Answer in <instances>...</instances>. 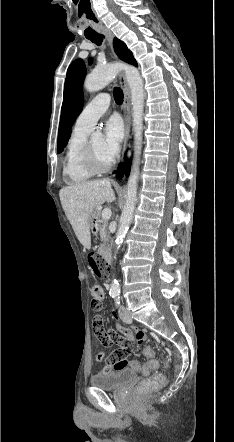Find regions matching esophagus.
Masks as SVG:
<instances>
[{
  "mask_svg": "<svg viewBox=\"0 0 234 442\" xmlns=\"http://www.w3.org/2000/svg\"><path fill=\"white\" fill-rule=\"evenodd\" d=\"M104 32L107 37L108 43L111 47L113 56L116 57L114 50H113V34L108 29H105ZM119 82H120L121 88L124 93V102L122 105V109H123V116H124V121H125V140H124V150H125L128 145V141H129V137H130L131 120H130V108H129L130 89H129L124 72H121L119 74Z\"/></svg>",
  "mask_w": 234,
  "mask_h": 442,
  "instance_id": "34e87169",
  "label": "esophagus"
}]
</instances>
